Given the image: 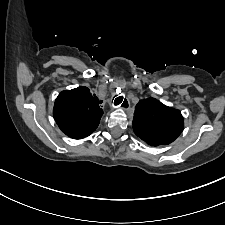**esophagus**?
I'll return each mask as SVG.
<instances>
[{
  "label": "esophagus",
  "mask_w": 225,
  "mask_h": 225,
  "mask_svg": "<svg viewBox=\"0 0 225 225\" xmlns=\"http://www.w3.org/2000/svg\"><path fill=\"white\" fill-rule=\"evenodd\" d=\"M117 97H119V96H117ZM116 97V98H117ZM116 98L113 100V102H112V107H114V108H118V107H121L123 110H125V111H127L129 108H130V103H129V101L128 100H126V99H123V101L119 104V105H115V100H116ZM126 100V101H125ZM126 102V106H124V104H123V102Z\"/></svg>",
  "instance_id": "esophagus-1"
}]
</instances>
